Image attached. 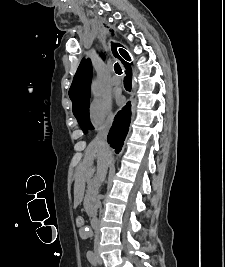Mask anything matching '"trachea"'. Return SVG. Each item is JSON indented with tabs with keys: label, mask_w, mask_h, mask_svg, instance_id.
I'll list each match as a JSON object with an SVG mask.
<instances>
[{
	"label": "trachea",
	"mask_w": 225,
	"mask_h": 267,
	"mask_svg": "<svg viewBox=\"0 0 225 267\" xmlns=\"http://www.w3.org/2000/svg\"><path fill=\"white\" fill-rule=\"evenodd\" d=\"M114 70L117 74H122V69L118 63H115Z\"/></svg>",
	"instance_id": "3493384b"
}]
</instances>
